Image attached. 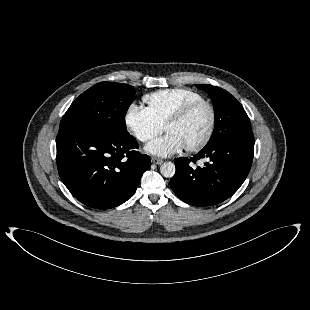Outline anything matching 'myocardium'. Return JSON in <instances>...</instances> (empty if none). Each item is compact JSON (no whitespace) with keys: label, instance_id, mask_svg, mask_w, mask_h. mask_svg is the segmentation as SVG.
<instances>
[{"label":"myocardium","instance_id":"myocardium-1","mask_svg":"<svg viewBox=\"0 0 310 310\" xmlns=\"http://www.w3.org/2000/svg\"><path fill=\"white\" fill-rule=\"evenodd\" d=\"M202 106L207 107L209 111V116H210L209 125H208L206 133L197 143L191 146L185 147V150L188 152L199 151L211 139L214 133V130H215V126H216V110H215L214 105L211 102L206 101L204 99L191 102L187 104L186 106H184L183 108H181L174 116L168 119L167 122L164 124V129H166L170 125L180 123L183 120H185L192 112H194L196 109Z\"/></svg>","mask_w":310,"mask_h":310}]
</instances>
